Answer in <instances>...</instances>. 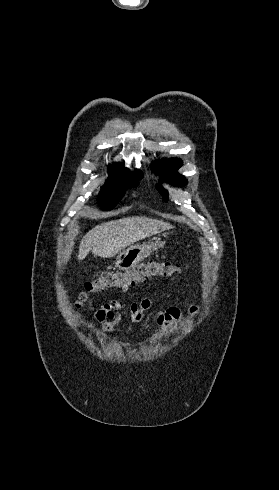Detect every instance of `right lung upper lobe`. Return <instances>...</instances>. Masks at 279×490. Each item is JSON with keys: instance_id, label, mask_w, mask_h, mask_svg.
Returning <instances> with one entry per match:
<instances>
[{"instance_id": "right-lung-upper-lobe-1", "label": "right lung upper lobe", "mask_w": 279, "mask_h": 490, "mask_svg": "<svg viewBox=\"0 0 279 490\" xmlns=\"http://www.w3.org/2000/svg\"><path fill=\"white\" fill-rule=\"evenodd\" d=\"M108 168H109V178L117 177L123 174L124 172L128 171L121 164H114L113 166H109Z\"/></svg>"}]
</instances>
